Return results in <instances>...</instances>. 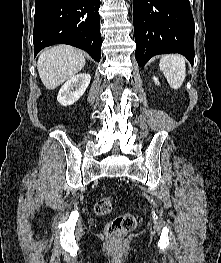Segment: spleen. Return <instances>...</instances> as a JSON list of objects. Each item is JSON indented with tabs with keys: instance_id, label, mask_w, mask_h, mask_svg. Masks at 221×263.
Here are the masks:
<instances>
[{
	"instance_id": "obj_1",
	"label": "spleen",
	"mask_w": 221,
	"mask_h": 263,
	"mask_svg": "<svg viewBox=\"0 0 221 263\" xmlns=\"http://www.w3.org/2000/svg\"><path fill=\"white\" fill-rule=\"evenodd\" d=\"M159 67L173 89L177 90L182 86L186 76V64L183 56L164 55L160 59Z\"/></svg>"
}]
</instances>
